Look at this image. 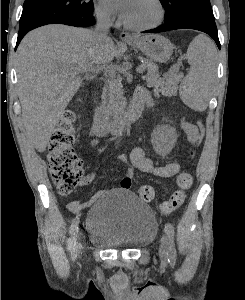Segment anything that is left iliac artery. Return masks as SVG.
<instances>
[{"instance_id":"left-iliac-artery-1","label":"left iliac artery","mask_w":245,"mask_h":300,"mask_svg":"<svg viewBox=\"0 0 245 300\" xmlns=\"http://www.w3.org/2000/svg\"><path fill=\"white\" fill-rule=\"evenodd\" d=\"M165 232L169 239V262L171 264H174L176 261V249H175V243H174V227L171 223L165 224Z\"/></svg>"}]
</instances>
